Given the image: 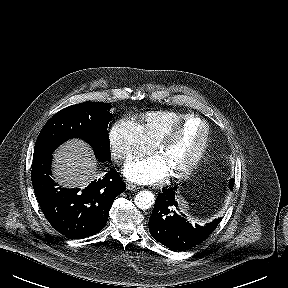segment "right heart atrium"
Masks as SVG:
<instances>
[{
    "label": "right heart atrium",
    "instance_id": "obj_1",
    "mask_svg": "<svg viewBox=\"0 0 288 288\" xmlns=\"http://www.w3.org/2000/svg\"><path fill=\"white\" fill-rule=\"evenodd\" d=\"M109 144L116 162L131 161L152 150L138 123L131 119H121L112 126L109 132Z\"/></svg>",
    "mask_w": 288,
    "mask_h": 288
}]
</instances>
